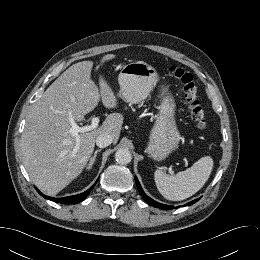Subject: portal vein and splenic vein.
I'll return each mask as SVG.
<instances>
[{"label":"portal vein and splenic vein","instance_id":"18ae733b","mask_svg":"<svg viewBox=\"0 0 260 260\" xmlns=\"http://www.w3.org/2000/svg\"><path fill=\"white\" fill-rule=\"evenodd\" d=\"M100 119L99 117H94L91 121V124L90 125H86V126H83V127H79L73 120H71L72 122V126L70 128V132L78 137L79 133L81 132H88V131H91V130H94L98 127V123H99Z\"/></svg>","mask_w":260,"mask_h":260}]
</instances>
